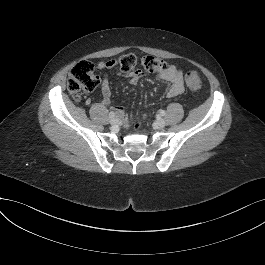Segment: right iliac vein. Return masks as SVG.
<instances>
[{
  "mask_svg": "<svg viewBox=\"0 0 265 265\" xmlns=\"http://www.w3.org/2000/svg\"><path fill=\"white\" fill-rule=\"evenodd\" d=\"M118 122H119V119L116 118V117H113V118L110 119L111 125H116V124H118Z\"/></svg>",
  "mask_w": 265,
  "mask_h": 265,
  "instance_id": "1",
  "label": "right iliac vein"
}]
</instances>
